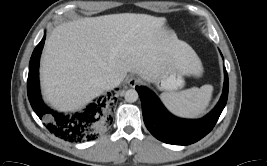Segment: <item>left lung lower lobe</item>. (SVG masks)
<instances>
[{
	"mask_svg": "<svg viewBox=\"0 0 267 166\" xmlns=\"http://www.w3.org/2000/svg\"><path fill=\"white\" fill-rule=\"evenodd\" d=\"M225 81L222 96L216 107L205 117L191 120L173 116L159 98L148 88L136 86L142 102L143 119L147 129L158 140L173 145H189L207 135L216 124L228 97V75L224 69Z\"/></svg>",
	"mask_w": 267,
	"mask_h": 166,
	"instance_id": "1",
	"label": "left lung lower lobe"
}]
</instances>
